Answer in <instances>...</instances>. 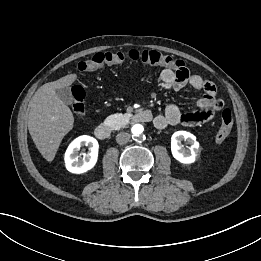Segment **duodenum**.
<instances>
[{"instance_id":"obj_1","label":"duodenum","mask_w":261,"mask_h":261,"mask_svg":"<svg viewBox=\"0 0 261 261\" xmlns=\"http://www.w3.org/2000/svg\"><path fill=\"white\" fill-rule=\"evenodd\" d=\"M152 120V114L148 110H138L132 115V121L141 123ZM96 137L101 140L108 139L112 134V128L105 123L96 126L94 131Z\"/></svg>"}]
</instances>
